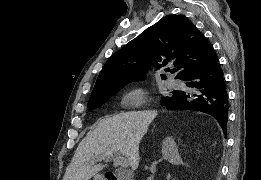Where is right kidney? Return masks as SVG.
<instances>
[{
    "instance_id": "right-kidney-1",
    "label": "right kidney",
    "mask_w": 261,
    "mask_h": 180,
    "mask_svg": "<svg viewBox=\"0 0 261 180\" xmlns=\"http://www.w3.org/2000/svg\"><path fill=\"white\" fill-rule=\"evenodd\" d=\"M162 156L164 160H168V162L174 164V166H180V164H182L174 138H165V140H163Z\"/></svg>"
}]
</instances>
